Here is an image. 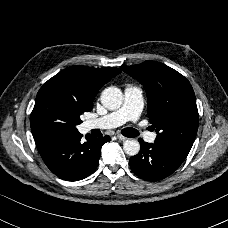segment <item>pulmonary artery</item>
<instances>
[{"mask_svg": "<svg viewBox=\"0 0 228 228\" xmlns=\"http://www.w3.org/2000/svg\"><path fill=\"white\" fill-rule=\"evenodd\" d=\"M142 100L141 89L137 86L128 85L124 90V103L121 108L100 118L87 120L83 126L86 131L93 129H113L121 126L128 120H136L142 112ZM155 139V132L145 135V140L149 143H153Z\"/></svg>", "mask_w": 228, "mask_h": 228, "instance_id": "pulmonary-artery-1", "label": "pulmonary artery"}]
</instances>
